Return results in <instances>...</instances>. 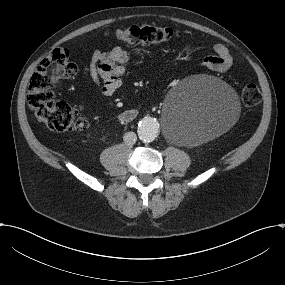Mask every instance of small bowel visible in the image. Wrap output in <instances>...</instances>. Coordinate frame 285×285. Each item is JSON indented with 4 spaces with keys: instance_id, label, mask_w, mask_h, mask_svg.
Instances as JSON below:
<instances>
[{
    "instance_id": "obj_1",
    "label": "small bowel",
    "mask_w": 285,
    "mask_h": 285,
    "mask_svg": "<svg viewBox=\"0 0 285 285\" xmlns=\"http://www.w3.org/2000/svg\"><path fill=\"white\" fill-rule=\"evenodd\" d=\"M213 50V54L204 57L203 65L221 73L230 70L233 58L229 49L218 43L214 45ZM128 61L129 54L121 47H114L108 51L95 49L90 62L83 66L84 79L89 86L103 95L112 96L121 84Z\"/></svg>"
}]
</instances>
